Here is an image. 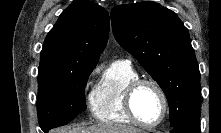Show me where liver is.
<instances>
[{
    "label": "liver",
    "mask_w": 221,
    "mask_h": 133,
    "mask_svg": "<svg viewBox=\"0 0 221 133\" xmlns=\"http://www.w3.org/2000/svg\"><path fill=\"white\" fill-rule=\"evenodd\" d=\"M52 133H142V131L131 126L121 124L100 123L89 127L81 125L62 127L53 130Z\"/></svg>",
    "instance_id": "1"
}]
</instances>
